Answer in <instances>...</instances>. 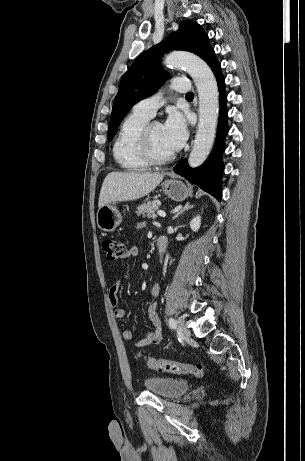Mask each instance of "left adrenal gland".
Listing matches in <instances>:
<instances>
[{
	"label": "left adrenal gland",
	"instance_id": "obj_1",
	"mask_svg": "<svg viewBox=\"0 0 305 461\" xmlns=\"http://www.w3.org/2000/svg\"><path fill=\"white\" fill-rule=\"evenodd\" d=\"M194 205H191L189 202H187L180 210L176 212V214L173 216L172 220H175L178 218L181 214H183L185 211H188L189 209H192Z\"/></svg>",
	"mask_w": 305,
	"mask_h": 461
}]
</instances>
